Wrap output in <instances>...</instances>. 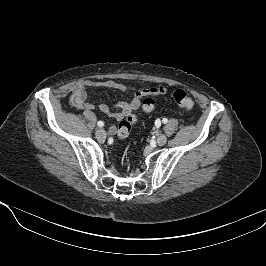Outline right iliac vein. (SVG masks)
Instances as JSON below:
<instances>
[{
    "mask_svg": "<svg viewBox=\"0 0 266 266\" xmlns=\"http://www.w3.org/2000/svg\"><path fill=\"white\" fill-rule=\"evenodd\" d=\"M95 134L98 139H104L106 137V132L102 128L97 129Z\"/></svg>",
    "mask_w": 266,
    "mask_h": 266,
    "instance_id": "63e3f726",
    "label": "right iliac vein"
}]
</instances>
